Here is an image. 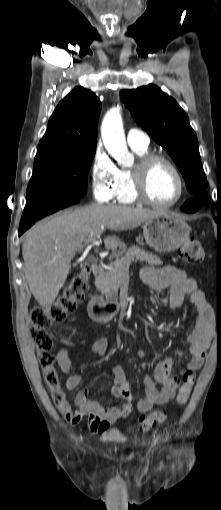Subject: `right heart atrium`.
Listing matches in <instances>:
<instances>
[{"label": "right heart atrium", "mask_w": 221, "mask_h": 510, "mask_svg": "<svg viewBox=\"0 0 221 510\" xmlns=\"http://www.w3.org/2000/svg\"><path fill=\"white\" fill-rule=\"evenodd\" d=\"M91 189L96 201L109 203L118 185V169L101 147H97L90 167Z\"/></svg>", "instance_id": "1"}]
</instances>
